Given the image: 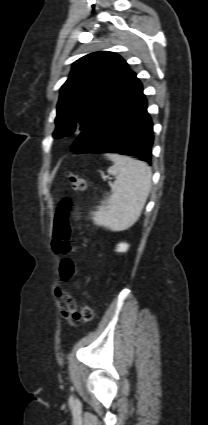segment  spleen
I'll list each match as a JSON object with an SVG mask.
<instances>
[{
	"label": "spleen",
	"instance_id": "obj_1",
	"mask_svg": "<svg viewBox=\"0 0 208 425\" xmlns=\"http://www.w3.org/2000/svg\"><path fill=\"white\" fill-rule=\"evenodd\" d=\"M113 161L108 173L116 176L111 195L93 213V221L112 231L130 228L140 217L151 189V168L142 161L106 154Z\"/></svg>",
	"mask_w": 208,
	"mask_h": 425
}]
</instances>
